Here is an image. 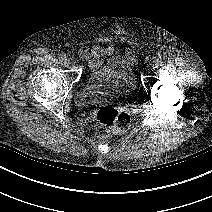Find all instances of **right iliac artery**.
Returning a JSON list of instances; mask_svg holds the SVG:
<instances>
[{"label":"right iliac artery","mask_w":212,"mask_h":212,"mask_svg":"<svg viewBox=\"0 0 212 212\" xmlns=\"http://www.w3.org/2000/svg\"><path fill=\"white\" fill-rule=\"evenodd\" d=\"M65 58H66V56H65L64 54H60V55H59V59H60V60L63 61Z\"/></svg>","instance_id":"1"}]
</instances>
